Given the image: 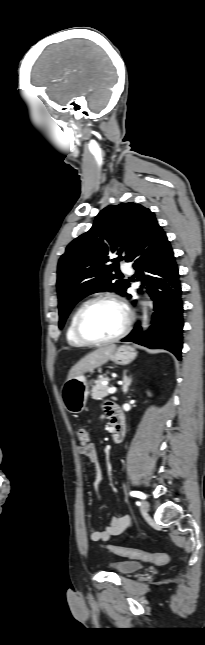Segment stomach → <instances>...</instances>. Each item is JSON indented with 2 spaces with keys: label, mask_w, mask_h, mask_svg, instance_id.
Returning a JSON list of instances; mask_svg holds the SVG:
<instances>
[{
  "label": "stomach",
  "mask_w": 205,
  "mask_h": 645,
  "mask_svg": "<svg viewBox=\"0 0 205 645\" xmlns=\"http://www.w3.org/2000/svg\"><path fill=\"white\" fill-rule=\"evenodd\" d=\"M137 356L131 346H121L116 349L111 359L119 365L131 363ZM89 395V385L84 375L67 379L62 386V400L66 410L73 414L81 413L86 406Z\"/></svg>",
  "instance_id": "0dacf381"
}]
</instances>
